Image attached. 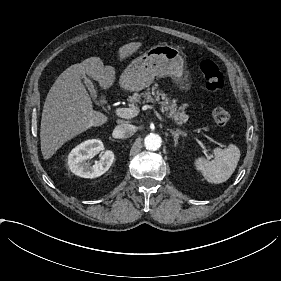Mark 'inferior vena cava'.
<instances>
[{
  "mask_svg": "<svg viewBox=\"0 0 281 281\" xmlns=\"http://www.w3.org/2000/svg\"><path fill=\"white\" fill-rule=\"evenodd\" d=\"M136 133V126L131 124L119 125L115 128L113 134L116 138H128Z\"/></svg>",
  "mask_w": 281,
  "mask_h": 281,
  "instance_id": "obj_1",
  "label": "inferior vena cava"
}]
</instances>
